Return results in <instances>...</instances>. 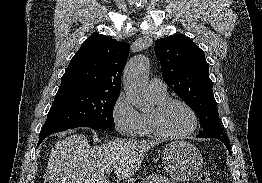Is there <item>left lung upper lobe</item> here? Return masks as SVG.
<instances>
[{"mask_svg": "<svg viewBox=\"0 0 262 183\" xmlns=\"http://www.w3.org/2000/svg\"><path fill=\"white\" fill-rule=\"evenodd\" d=\"M155 53L167 85L197 114L203 131L197 137L225 138L204 52L181 34L158 39Z\"/></svg>", "mask_w": 262, "mask_h": 183, "instance_id": "5c2ea615", "label": "left lung upper lobe"}]
</instances>
